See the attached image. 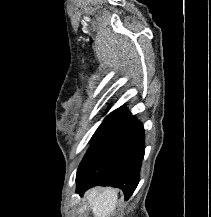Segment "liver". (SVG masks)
Masks as SVG:
<instances>
[{
  "instance_id": "obj_1",
  "label": "liver",
  "mask_w": 211,
  "mask_h": 217,
  "mask_svg": "<svg viewBox=\"0 0 211 217\" xmlns=\"http://www.w3.org/2000/svg\"><path fill=\"white\" fill-rule=\"evenodd\" d=\"M94 217H111L117 206L118 191L113 188H92L86 194Z\"/></svg>"
}]
</instances>
